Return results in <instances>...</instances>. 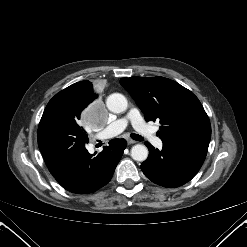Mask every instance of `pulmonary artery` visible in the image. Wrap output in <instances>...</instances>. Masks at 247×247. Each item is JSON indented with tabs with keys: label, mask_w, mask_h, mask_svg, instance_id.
<instances>
[{
	"label": "pulmonary artery",
	"mask_w": 247,
	"mask_h": 247,
	"mask_svg": "<svg viewBox=\"0 0 247 247\" xmlns=\"http://www.w3.org/2000/svg\"><path fill=\"white\" fill-rule=\"evenodd\" d=\"M131 123L133 128L146 140L151 142L154 146L160 148L163 143L156 135V131L149 126L141 117L137 108H131L128 113L110 123L102 132L99 133L101 139L113 138L122 133L128 124Z\"/></svg>",
	"instance_id": "pulmonary-artery-1"
}]
</instances>
